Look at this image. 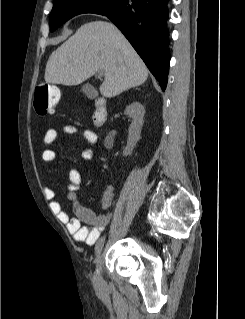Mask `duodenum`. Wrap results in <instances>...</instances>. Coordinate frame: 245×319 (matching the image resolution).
<instances>
[{
    "label": "duodenum",
    "instance_id": "410a0bca",
    "mask_svg": "<svg viewBox=\"0 0 245 319\" xmlns=\"http://www.w3.org/2000/svg\"><path fill=\"white\" fill-rule=\"evenodd\" d=\"M107 121V104L103 98L97 99L95 111L93 114V123L95 126H103Z\"/></svg>",
    "mask_w": 245,
    "mask_h": 319
}]
</instances>
